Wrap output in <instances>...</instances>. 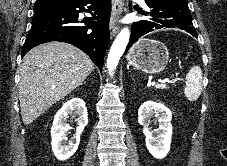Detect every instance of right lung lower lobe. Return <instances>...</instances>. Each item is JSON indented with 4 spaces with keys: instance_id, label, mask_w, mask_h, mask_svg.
<instances>
[{
    "instance_id": "obj_1",
    "label": "right lung lower lobe",
    "mask_w": 227,
    "mask_h": 166,
    "mask_svg": "<svg viewBox=\"0 0 227 166\" xmlns=\"http://www.w3.org/2000/svg\"><path fill=\"white\" fill-rule=\"evenodd\" d=\"M92 17L83 20L86 26H79L78 15L86 11ZM110 0H76L63 9H57L32 19L21 57L35 46L59 41L72 44L87 53L95 65L102 70L106 48L110 41Z\"/></svg>"
}]
</instances>
